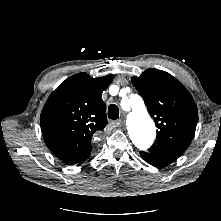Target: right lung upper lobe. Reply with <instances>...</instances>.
Segmentation results:
<instances>
[{
    "instance_id": "right-lung-upper-lobe-1",
    "label": "right lung upper lobe",
    "mask_w": 221,
    "mask_h": 221,
    "mask_svg": "<svg viewBox=\"0 0 221 221\" xmlns=\"http://www.w3.org/2000/svg\"><path fill=\"white\" fill-rule=\"evenodd\" d=\"M113 75L92 78L78 73L67 78L48 98L40 117L46 145L63 162L83 163L91 153L92 140L106 124L101 95Z\"/></svg>"
}]
</instances>
